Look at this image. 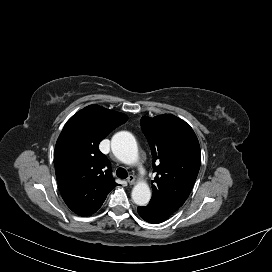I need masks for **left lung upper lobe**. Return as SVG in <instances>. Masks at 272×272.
Returning <instances> with one entry per match:
<instances>
[{"mask_svg": "<svg viewBox=\"0 0 272 272\" xmlns=\"http://www.w3.org/2000/svg\"><path fill=\"white\" fill-rule=\"evenodd\" d=\"M140 123L156 172L148 205L171 216L195 183L201 163L200 145L192 128L172 114L142 117Z\"/></svg>", "mask_w": 272, "mask_h": 272, "instance_id": "5c2ea615", "label": "left lung upper lobe"}]
</instances>
